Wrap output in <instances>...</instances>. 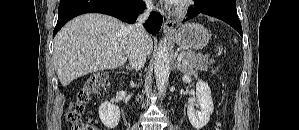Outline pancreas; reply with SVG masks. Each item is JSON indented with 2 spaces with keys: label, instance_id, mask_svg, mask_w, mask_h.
<instances>
[{
  "label": "pancreas",
  "instance_id": "pancreas-1",
  "mask_svg": "<svg viewBox=\"0 0 299 130\" xmlns=\"http://www.w3.org/2000/svg\"><path fill=\"white\" fill-rule=\"evenodd\" d=\"M184 57L182 58L181 68L183 70L194 72V70H207L208 65L214 64L215 60L209 59L208 56L202 54H194L193 52H182Z\"/></svg>",
  "mask_w": 299,
  "mask_h": 130
}]
</instances>
